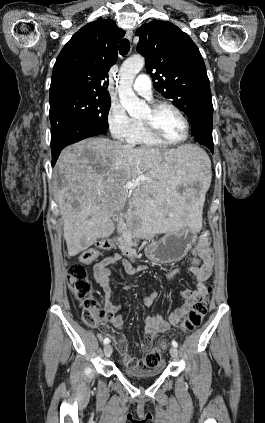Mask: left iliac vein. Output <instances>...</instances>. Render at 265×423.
<instances>
[{"label": "left iliac vein", "mask_w": 265, "mask_h": 423, "mask_svg": "<svg viewBox=\"0 0 265 423\" xmlns=\"http://www.w3.org/2000/svg\"><path fill=\"white\" fill-rule=\"evenodd\" d=\"M170 355H171V357L172 358H177V356H178V349L176 348V347H171L170 348Z\"/></svg>", "instance_id": "4c4485c4"}]
</instances>
